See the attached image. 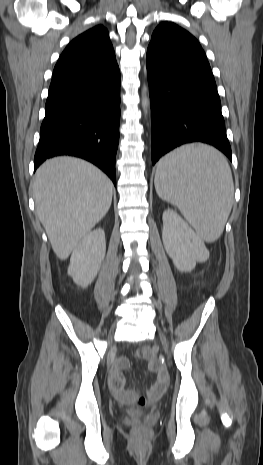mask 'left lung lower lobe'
I'll return each instance as SVG.
<instances>
[{"label":"left lung lower lobe","mask_w":263,"mask_h":465,"mask_svg":"<svg viewBox=\"0 0 263 465\" xmlns=\"http://www.w3.org/2000/svg\"><path fill=\"white\" fill-rule=\"evenodd\" d=\"M152 163L186 143L203 142L232 160L216 83L207 59L148 47Z\"/></svg>","instance_id":"left-lung-lower-lobe-1"}]
</instances>
